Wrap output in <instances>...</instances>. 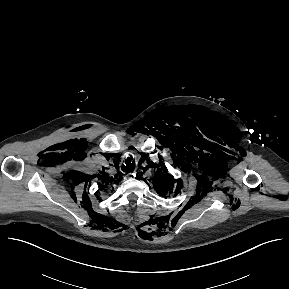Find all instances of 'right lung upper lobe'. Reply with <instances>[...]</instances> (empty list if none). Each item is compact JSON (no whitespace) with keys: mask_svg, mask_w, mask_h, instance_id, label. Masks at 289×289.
I'll return each instance as SVG.
<instances>
[{"mask_svg":"<svg viewBox=\"0 0 289 289\" xmlns=\"http://www.w3.org/2000/svg\"><path fill=\"white\" fill-rule=\"evenodd\" d=\"M100 183H99V187H107L109 185H111L113 182L116 183L117 181H115L114 179H110L106 176H101L100 178Z\"/></svg>","mask_w":289,"mask_h":289,"instance_id":"obj_1","label":"right lung upper lobe"}]
</instances>
